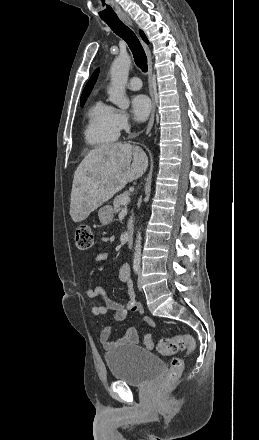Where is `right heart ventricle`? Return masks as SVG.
<instances>
[{
  "instance_id": "e07e8e85",
  "label": "right heart ventricle",
  "mask_w": 259,
  "mask_h": 440,
  "mask_svg": "<svg viewBox=\"0 0 259 440\" xmlns=\"http://www.w3.org/2000/svg\"><path fill=\"white\" fill-rule=\"evenodd\" d=\"M115 109L101 100L95 101L86 113L84 138L92 147L113 144L119 137L114 122Z\"/></svg>"
}]
</instances>
